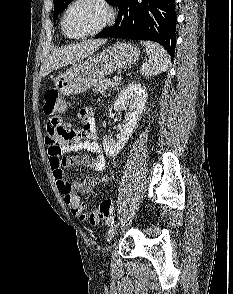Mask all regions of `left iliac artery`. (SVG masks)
Listing matches in <instances>:
<instances>
[{"instance_id":"44dca946","label":"left iliac artery","mask_w":233,"mask_h":294,"mask_svg":"<svg viewBox=\"0 0 233 294\" xmlns=\"http://www.w3.org/2000/svg\"><path fill=\"white\" fill-rule=\"evenodd\" d=\"M114 216H111V217H109L107 220H106V224L108 225V226H110V225H112L113 223H114Z\"/></svg>"}]
</instances>
